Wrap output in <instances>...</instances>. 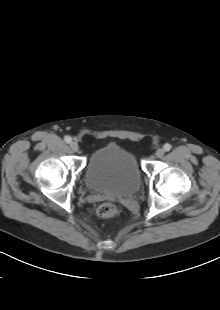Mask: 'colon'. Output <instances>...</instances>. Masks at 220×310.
Segmentation results:
<instances>
[{
	"mask_svg": "<svg viewBox=\"0 0 220 310\" xmlns=\"http://www.w3.org/2000/svg\"><path fill=\"white\" fill-rule=\"evenodd\" d=\"M117 213L118 207L113 203H103L96 210V214L100 218H111L117 215Z\"/></svg>",
	"mask_w": 220,
	"mask_h": 310,
	"instance_id": "obj_1",
	"label": "colon"
}]
</instances>
